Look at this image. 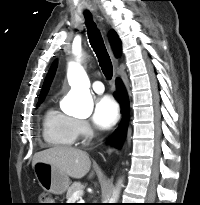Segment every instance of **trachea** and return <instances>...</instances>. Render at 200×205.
I'll return each instance as SVG.
<instances>
[{
	"instance_id": "3493384b",
	"label": "trachea",
	"mask_w": 200,
	"mask_h": 205,
	"mask_svg": "<svg viewBox=\"0 0 200 205\" xmlns=\"http://www.w3.org/2000/svg\"><path fill=\"white\" fill-rule=\"evenodd\" d=\"M85 19L86 26L88 28V38L90 44L98 58L100 67L105 77L107 79H111L113 75V66L101 33L94 23L92 15L90 13H85Z\"/></svg>"
}]
</instances>
